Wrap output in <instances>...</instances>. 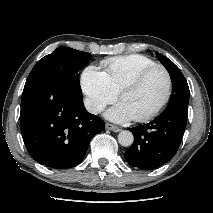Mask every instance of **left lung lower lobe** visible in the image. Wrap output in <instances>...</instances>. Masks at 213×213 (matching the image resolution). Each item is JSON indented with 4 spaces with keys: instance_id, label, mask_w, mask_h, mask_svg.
Returning <instances> with one entry per match:
<instances>
[{
    "instance_id": "0a47b994",
    "label": "left lung lower lobe",
    "mask_w": 213,
    "mask_h": 213,
    "mask_svg": "<svg viewBox=\"0 0 213 213\" xmlns=\"http://www.w3.org/2000/svg\"><path fill=\"white\" fill-rule=\"evenodd\" d=\"M188 110L166 108L153 121L129 128L134 144L124 155L132 167L149 170L165 164L177 152L182 140Z\"/></svg>"
}]
</instances>
